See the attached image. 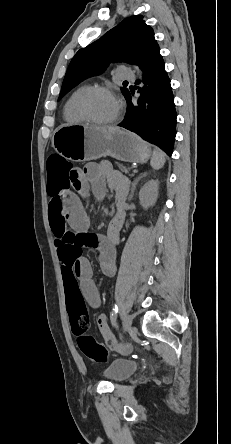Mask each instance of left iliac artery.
Returning <instances> with one entry per match:
<instances>
[{
    "label": "left iliac artery",
    "mask_w": 231,
    "mask_h": 444,
    "mask_svg": "<svg viewBox=\"0 0 231 444\" xmlns=\"http://www.w3.org/2000/svg\"><path fill=\"white\" fill-rule=\"evenodd\" d=\"M119 313V307L118 305L115 303L114 307H113V313L111 315V323L114 326L116 324V318H117V314Z\"/></svg>",
    "instance_id": "left-iliac-artery-1"
}]
</instances>
